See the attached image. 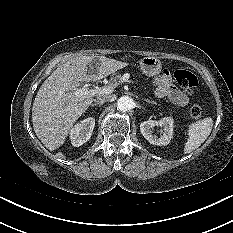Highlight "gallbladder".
Returning <instances> with one entry per match:
<instances>
[{"label": "gallbladder", "mask_w": 233, "mask_h": 233, "mask_svg": "<svg viewBox=\"0 0 233 233\" xmlns=\"http://www.w3.org/2000/svg\"><path fill=\"white\" fill-rule=\"evenodd\" d=\"M98 62V59L97 58H95L94 59V61H93V63H97Z\"/></svg>", "instance_id": "1"}]
</instances>
